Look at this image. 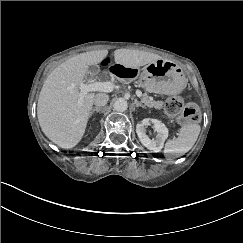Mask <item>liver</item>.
<instances>
[{
	"label": "liver",
	"instance_id": "liver-1",
	"mask_svg": "<svg viewBox=\"0 0 243 243\" xmlns=\"http://www.w3.org/2000/svg\"><path fill=\"white\" fill-rule=\"evenodd\" d=\"M108 50L81 53L56 67L45 80L37 104V117L44 134L61 148H72L82 139L89 113L94 103V93L84 95L81 104L79 86L90 65L100 63ZM161 56L139 50L117 49L115 63L138 68Z\"/></svg>",
	"mask_w": 243,
	"mask_h": 243
}]
</instances>
